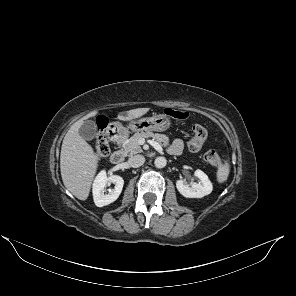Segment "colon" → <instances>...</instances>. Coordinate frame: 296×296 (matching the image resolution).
<instances>
[{
	"label": "colon",
	"instance_id": "1",
	"mask_svg": "<svg viewBox=\"0 0 296 296\" xmlns=\"http://www.w3.org/2000/svg\"><path fill=\"white\" fill-rule=\"evenodd\" d=\"M164 113L172 118L178 120H185L188 117V113L182 110H176L171 108H166ZM107 126V121L104 118H99L97 121L98 133L95 139V154L97 157H104L109 153V142L104 133V129ZM193 137L188 143V147L191 151H199L206 139H207V130L199 125L195 124L192 126ZM204 160L214 167H220L222 165L221 158L217 152L214 150H209L204 154Z\"/></svg>",
	"mask_w": 296,
	"mask_h": 296
}]
</instances>
